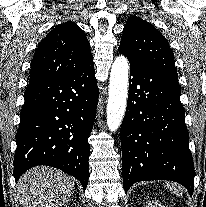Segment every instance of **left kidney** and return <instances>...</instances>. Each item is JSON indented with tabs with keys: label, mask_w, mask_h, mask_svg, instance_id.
Here are the masks:
<instances>
[{
	"label": "left kidney",
	"mask_w": 206,
	"mask_h": 207,
	"mask_svg": "<svg viewBox=\"0 0 206 207\" xmlns=\"http://www.w3.org/2000/svg\"><path fill=\"white\" fill-rule=\"evenodd\" d=\"M146 207H165L158 200H150L148 201Z\"/></svg>",
	"instance_id": "obj_1"
}]
</instances>
